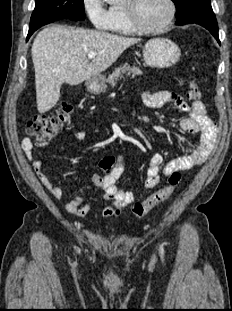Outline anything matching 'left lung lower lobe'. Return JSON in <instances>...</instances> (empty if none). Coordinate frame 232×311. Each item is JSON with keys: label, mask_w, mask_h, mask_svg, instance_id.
I'll return each instance as SVG.
<instances>
[{"label": "left lung lower lobe", "mask_w": 232, "mask_h": 311, "mask_svg": "<svg viewBox=\"0 0 232 311\" xmlns=\"http://www.w3.org/2000/svg\"><path fill=\"white\" fill-rule=\"evenodd\" d=\"M176 18L177 25L195 23L205 27L220 43L218 36V25L211 7L210 0L201 1L200 3L191 7L189 10L181 13Z\"/></svg>", "instance_id": "obj_1"}]
</instances>
